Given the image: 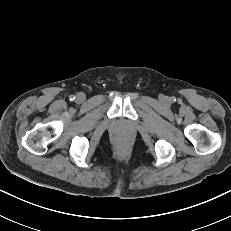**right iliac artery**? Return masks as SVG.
Returning <instances> with one entry per match:
<instances>
[{"mask_svg":"<svg viewBox=\"0 0 231 231\" xmlns=\"http://www.w3.org/2000/svg\"><path fill=\"white\" fill-rule=\"evenodd\" d=\"M75 99V96L74 95H71L70 96V100L72 101V100H74Z\"/></svg>","mask_w":231,"mask_h":231,"instance_id":"right-iliac-artery-1","label":"right iliac artery"}]
</instances>
